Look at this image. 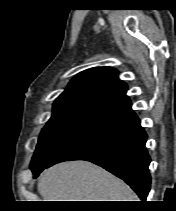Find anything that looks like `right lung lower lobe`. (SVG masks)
<instances>
[{
	"instance_id": "right-lung-lower-lobe-1",
	"label": "right lung lower lobe",
	"mask_w": 176,
	"mask_h": 211,
	"mask_svg": "<svg viewBox=\"0 0 176 211\" xmlns=\"http://www.w3.org/2000/svg\"><path fill=\"white\" fill-rule=\"evenodd\" d=\"M146 140L139 118L130 111L98 123L33 175L36 178L43 169L58 162L87 160L123 179L146 201L151 185Z\"/></svg>"
}]
</instances>
